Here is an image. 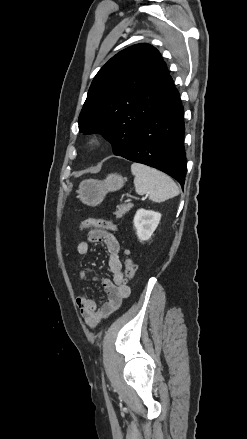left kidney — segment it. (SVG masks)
I'll list each match as a JSON object with an SVG mask.
<instances>
[{
    "mask_svg": "<svg viewBox=\"0 0 247 439\" xmlns=\"http://www.w3.org/2000/svg\"><path fill=\"white\" fill-rule=\"evenodd\" d=\"M161 214L152 210L139 209L134 216V227L139 240H149L156 230Z\"/></svg>",
    "mask_w": 247,
    "mask_h": 439,
    "instance_id": "1",
    "label": "left kidney"
}]
</instances>
